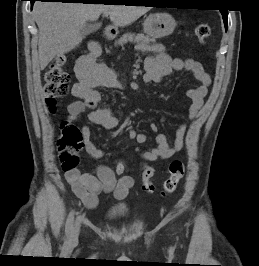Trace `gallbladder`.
Instances as JSON below:
<instances>
[{"label": "gallbladder", "instance_id": "gallbladder-1", "mask_svg": "<svg viewBox=\"0 0 259 266\" xmlns=\"http://www.w3.org/2000/svg\"><path fill=\"white\" fill-rule=\"evenodd\" d=\"M97 25L92 23H87L84 27L81 28V33L83 35H88L92 32H94L97 29Z\"/></svg>", "mask_w": 259, "mask_h": 266}]
</instances>
